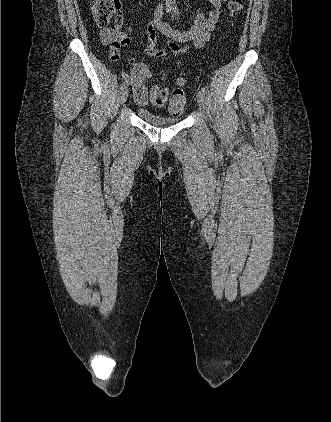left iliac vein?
<instances>
[{"label": "left iliac vein", "instance_id": "obj_1", "mask_svg": "<svg viewBox=\"0 0 331 422\" xmlns=\"http://www.w3.org/2000/svg\"><path fill=\"white\" fill-rule=\"evenodd\" d=\"M196 99H197L198 104L201 107H204V104H205V95L201 91H198L197 92Z\"/></svg>", "mask_w": 331, "mask_h": 422}]
</instances>
